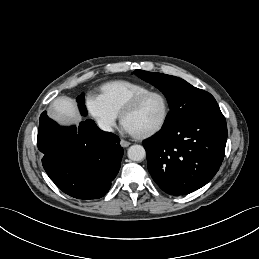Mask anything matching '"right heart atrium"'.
Returning <instances> with one entry per match:
<instances>
[{"mask_svg": "<svg viewBox=\"0 0 259 259\" xmlns=\"http://www.w3.org/2000/svg\"><path fill=\"white\" fill-rule=\"evenodd\" d=\"M86 107L91 117L104 130H111L117 115L105 104L100 95L92 94L87 98Z\"/></svg>", "mask_w": 259, "mask_h": 259, "instance_id": "obj_1", "label": "right heart atrium"}]
</instances>
